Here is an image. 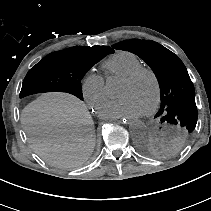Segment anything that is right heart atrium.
Listing matches in <instances>:
<instances>
[{
	"instance_id": "right-heart-atrium-1",
	"label": "right heart atrium",
	"mask_w": 211,
	"mask_h": 211,
	"mask_svg": "<svg viewBox=\"0 0 211 211\" xmlns=\"http://www.w3.org/2000/svg\"><path fill=\"white\" fill-rule=\"evenodd\" d=\"M81 92L91 108H101L107 100L105 79L98 73H88L81 80Z\"/></svg>"
}]
</instances>
